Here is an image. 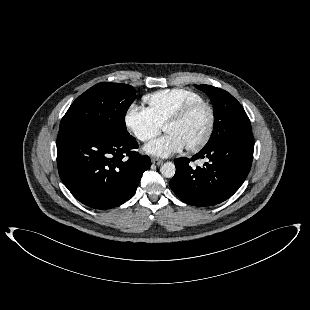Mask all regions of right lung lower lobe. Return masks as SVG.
<instances>
[{
	"label": "right lung lower lobe",
	"instance_id": "1",
	"mask_svg": "<svg viewBox=\"0 0 310 310\" xmlns=\"http://www.w3.org/2000/svg\"><path fill=\"white\" fill-rule=\"evenodd\" d=\"M136 139L113 138L80 128L60 130L57 166L60 178L72 195L88 207L110 209L136 192L142 174L150 167ZM128 157V158H127Z\"/></svg>",
	"mask_w": 310,
	"mask_h": 310
}]
</instances>
